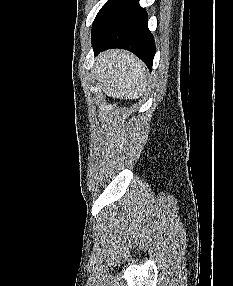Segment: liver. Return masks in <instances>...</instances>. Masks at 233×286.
<instances>
[{
	"instance_id": "6515ba94",
	"label": "liver",
	"mask_w": 233,
	"mask_h": 286,
	"mask_svg": "<svg viewBox=\"0 0 233 286\" xmlns=\"http://www.w3.org/2000/svg\"><path fill=\"white\" fill-rule=\"evenodd\" d=\"M93 73L102 83L104 93L112 98L135 99L147 85L145 65L133 54L110 50L95 61Z\"/></svg>"
}]
</instances>
